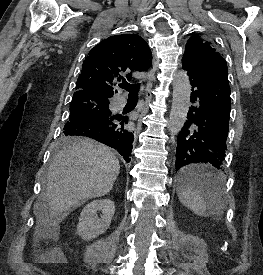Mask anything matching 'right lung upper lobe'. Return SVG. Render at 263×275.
I'll use <instances>...</instances> for the list:
<instances>
[{"label": "right lung upper lobe", "instance_id": "right-lung-upper-lobe-1", "mask_svg": "<svg viewBox=\"0 0 263 275\" xmlns=\"http://www.w3.org/2000/svg\"><path fill=\"white\" fill-rule=\"evenodd\" d=\"M151 50L146 41L136 34L110 36L101 41L85 58L76 82V92L111 98L112 86L125 80L126 70L145 71L150 66ZM126 78L131 80V74Z\"/></svg>", "mask_w": 263, "mask_h": 275}]
</instances>
